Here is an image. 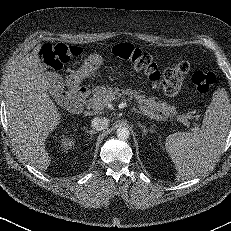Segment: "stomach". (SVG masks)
Segmentation results:
<instances>
[{
	"label": "stomach",
	"instance_id": "obj_1",
	"mask_svg": "<svg viewBox=\"0 0 231 231\" xmlns=\"http://www.w3.org/2000/svg\"><path fill=\"white\" fill-rule=\"evenodd\" d=\"M102 65V58L98 54L90 55L81 68L77 71L76 76L67 79L68 84L75 85L85 77H95Z\"/></svg>",
	"mask_w": 231,
	"mask_h": 231
}]
</instances>
